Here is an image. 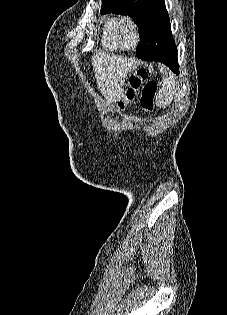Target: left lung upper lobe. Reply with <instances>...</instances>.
<instances>
[{
    "label": "left lung upper lobe",
    "mask_w": 227,
    "mask_h": 315,
    "mask_svg": "<svg viewBox=\"0 0 227 315\" xmlns=\"http://www.w3.org/2000/svg\"><path fill=\"white\" fill-rule=\"evenodd\" d=\"M101 13L130 16L139 27L140 40L153 38L166 52H177L164 0H102Z\"/></svg>",
    "instance_id": "5c2ea615"
}]
</instances>
